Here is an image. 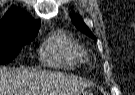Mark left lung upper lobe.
<instances>
[{"mask_svg": "<svg viewBox=\"0 0 135 95\" xmlns=\"http://www.w3.org/2000/svg\"><path fill=\"white\" fill-rule=\"evenodd\" d=\"M72 22L75 26L84 34L96 40V37L92 34V32L88 29L85 23L76 15H71Z\"/></svg>", "mask_w": 135, "mask_h": 95, "instance_id": "5c2ea615", "label": "left lung upper lobe"}]
</instances>
